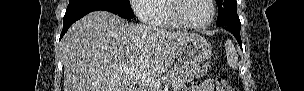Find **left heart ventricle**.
I'll list each match as a JSON object with an SVG mask.
<instances>
[{
	"mask_svg": "<svg viewBox=\"0 0 304 91\" xmlns=\"http://www.w3.org/2000/svg\"><path fill=\"white\" fill-rule=\"evenodd\" d=\"M182 15L191 24H202L209 20L211 7L207 0H185L182 3Z\"/></svg>",
	"mask_w": 304,
	"mask_h": 91,
	"instance_id": "b2bd125f",
	"label": "left heart ventricle"
}]
</instances>
